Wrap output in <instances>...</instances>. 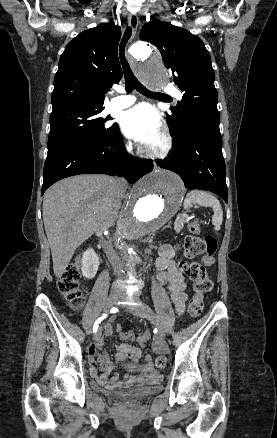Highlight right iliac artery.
<instances>
[{"label": "right iliac artery", "instance_id": "right-iliac-artery-1", "mask_svg": "<svg viewBox=\"0 0 277 438\" xmlns=\"http://www.w3.org/2000/svg\"><path fill=\"white\" fill-rule=\"evenodd\" d=\"M106 316H107L106 314H103L101 317H99V318L95 321L94 326H93V331H94V332L97 331L99 324L103 321V319L106 318Z\"/></svg>", "mask_w": 277, "mask_h": 438}]
</instances>
